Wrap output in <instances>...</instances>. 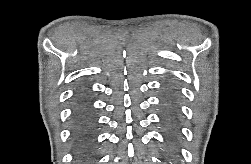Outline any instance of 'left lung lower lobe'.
I'll return each instance as SVG.
<instances>
[{"label":"left lung lower lobe","instance_id":"left-lung-lower-lobe-1","mask_svg":"<svg viewBox=\"0 0 251 164\" xmlns=\"http://www.w3.org/2000/svg\"><path fill=\"white\" fill-rule=\"evenodd\" d=\"M175 90L172 84L167 83L164 87V102L163 108L167 115V127L172 129L173 121L172 117L175 115V103H174Z\"/></svg>","mask_w":251,"mask_h":164}]
</instances>
